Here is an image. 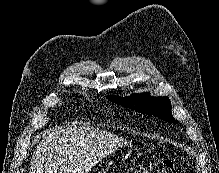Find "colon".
Returning a JSON list of instances; mask_svg holds the SVG:
<instances>
[{
  "label": "colon",
  "instance_id": "obj_1",
  "mask_svg": "<svg viewBox=\"0 0 219 173\" xmlns=\"http://www.w3.org/2000/svg\"><path fill=\"white\" fill-rule=\"evenodd\" d=\"M127 173H179L174 162L168 159L151 160Z\"/></svg>",
  "mask_w": 219,
  "mask_h": 173
}]
</instances>
